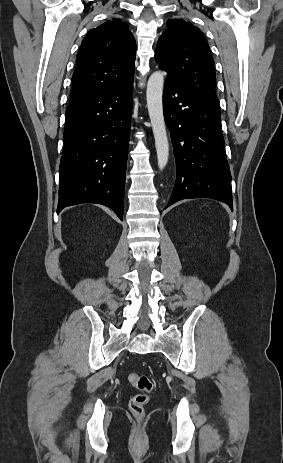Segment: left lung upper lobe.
Masks as SVG:
<instances>
[{
  "mask_svg": "<svg viewBox=\"0 0 283 463\" xmlns=\"http://www.w3.org/2000/svg\"><path fill=\"white\" fill-rule=\"evenodd\" d=\"M166 25L155 52L160 69L193 94L220 107L214 60L202 31L180 19L168 20Z\"/></svg>",
  "mask_w": 283,
  "mask_h": 463,
  "instance_id": "5c2ea615",
  "label": "left lung upper lobe"
}]
</instances>
